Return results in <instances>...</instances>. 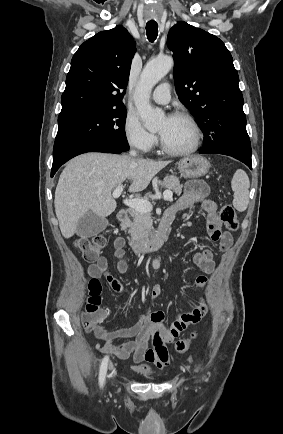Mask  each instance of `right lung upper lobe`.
Segmentation results:
<instances>
[{"mask_svg":"<svg viewBox=\"0 0 283 434\" xmlns=\"http://www.w3.org/2000/svg\"><path fill=\"white\" fill-rule=\"evenodd\" d=\"M135 51L122 26L85 41L71 60L59 116L125 107L122 98Z\"/></svg>","mask_w":283,"mask_h":434,"instance_id":"obj_1","label":"right lung upper lobe"}]
</instances>
